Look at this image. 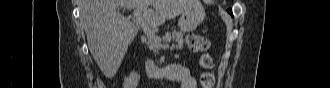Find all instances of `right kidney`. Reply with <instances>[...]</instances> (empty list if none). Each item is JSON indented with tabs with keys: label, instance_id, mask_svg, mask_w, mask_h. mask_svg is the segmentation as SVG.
I'll return each instance as SVG.
<instances>
[{
	"label": "right kidney",
	"instance_id": "obj_1",
	"mask_svg": "<svg viewBox=\"0 0 330 88\" xmlns=\"http://www.w3.org/2000/svg\"><path fill=\"white\" fill-rule=\"evenodd\" d=\"M140 80V75L132 71L128 77L124 78L123 88H136Z\"/></svg>",
	"mask_w": 330,
	"mask_h": 88
}]
</instances>
